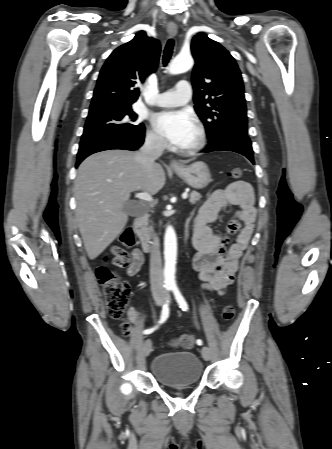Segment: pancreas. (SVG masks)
Segmentation results:
<instances>
[{
  "label": "pancreas",
  "mask_w": 332,
  "mask_h": 449,
  "mask_svg": "<svg viewBox=\"0 0 332 449\" xmlns=\"http://www.w3.org/2000/svg\"><path fill=\"white\" fill-rule=\"evenodd\" d=\"M201 198V194L196 192V191H192L190 194V203L191 204H196ZM148 230H150V228H147Z\"/></svg>",
  "instance_id": "cf45deb5"
}]
</instances>
